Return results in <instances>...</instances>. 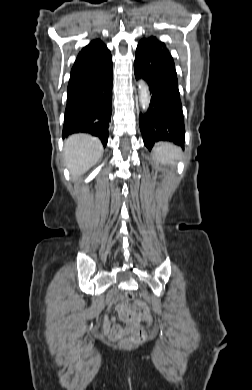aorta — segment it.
<instances>
[{"mask_svg": "<svg viewBox=\"0 0 252 390\" xmlns=\"http://www.w3.org/2000/svg\"><path fill=\"white\" fill-rule=\"evenodd\" d=\"M138 90H139V102L144 111H147L150 104V90L147 83L143 80L138 82Z\"/></svg>", "mask_w": 252, "mask_h": 390, "instance_id": "obj_1", "label": "aorta"}]
</instances>
